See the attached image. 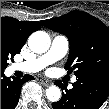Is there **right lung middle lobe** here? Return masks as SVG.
Wrapping results in <instances>:
<instances>
[{
    "label": "right lung middle lobe",
    "instance_id": "obj_1",
    "mask_svg": "<svg viewBox=\"0 0 109 109\" xmlns=\"http://www.w3.org/2000/svg\"><path fill=\"white\" fill-rule=\"evenodd\" d=\"M19 53L14 50L7 42L1 39V72L5 70L8 65V60H13L15 54Z\"/></svg>",
    "mask_w": 109,
    "mask_h": 109
}]
</instances>
